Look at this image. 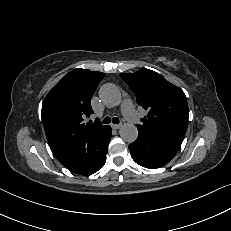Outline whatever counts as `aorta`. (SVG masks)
Returning <instances> with one entry per match:
<instances>
[{
	"instance_id": "aorta-1",
	"label": "aorta",
	"mask_w": 231,
	"mask_h": 231,
	"mask_svg": "<svg viewBox=\"0 0 231 231\" xmlns=\"http://www.w3.org/2000/svg\"><path fill=\"white\" fill-rule=\"evenodd\" d=\"M99 97L108 107H115L121 101V93L117 86L107 83L101 86ZM122 140L128 143L134 142L138 137L137 127L132 123H124L119 130Z\"/></svg>"
}]
</instances>
